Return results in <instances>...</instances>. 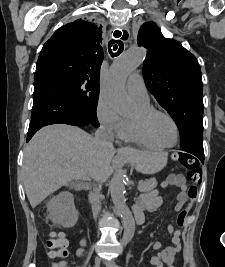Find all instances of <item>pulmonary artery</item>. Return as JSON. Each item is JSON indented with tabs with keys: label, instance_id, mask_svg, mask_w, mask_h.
Segmentation results:
<instances>
[{
	"label": "pulmonary artery",
	"instance_id": "obj_1",
	"mask_svg": "<svg viewBox=\"0 0 225 267\" xmlns=\"http://www.w3.org/2000/svg\"><path fill=\"white\" fill-rule=\"evenodd\" d=\"M127 91L135 101H149V95L143 80L139 73H133L127 80Z\"/></svg>",
	"mask_w": 225,
	"mask_h": 267
}]
</instances>
